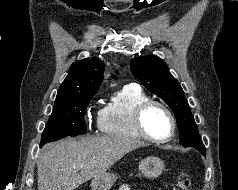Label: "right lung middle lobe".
Masks as SVG:
<instances>
[{
    "label": "right lung middle lobe",
    "mask_w": 238,
    "mask_h": 190,
    "mask_svg": "<svg viewBox=\"0 0 238 190\" xmlns=\"http://www.w3.org/2000/svg\"><path fill=\"white\" fill-rule=\"evenodd\" d=\"M94 94H80L73 98L55 102L50 119L43 131L41 146L65 136L77 135L87 130L84 114Z\"/></svg>",
    "instance_id": "obj_1"
}]
</instances>
